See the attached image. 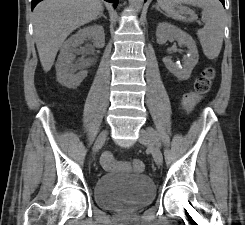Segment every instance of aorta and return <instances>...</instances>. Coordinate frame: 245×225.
<instances>
[{"label":"aorta","instance_id":"762f6f07","mask_svg":"<svg viewBox=\"0 0 245 225\" xmlns=\"http://www.w3.org/2000/svg\"><path fill=\"white\" fill-rule=\"evenodd\" d=\"M144 0H129L130 7L136 11L142 8Z\"/></svg>","mask_w":245,"mask_h":225}]
</instances>
